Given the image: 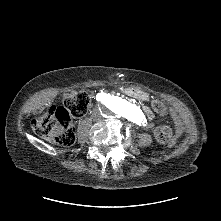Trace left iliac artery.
<instances>
[{"label": "left iliac artery", "mask_w": 221, "mask_h": 221, "mask_svg": "<svg viewBox=\"0 0 221 221\" xmlns=\"http://www.w3.org/2000/svg\"><path fill=\"white\" fill-rule=\"evenodd\" d=\"M112 100L111 99H108L107 101H106V103H110Z\"/></svg>", "instance_id": "obj_1"}]
</instances>
